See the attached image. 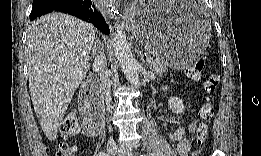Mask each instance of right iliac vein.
Instances as JSON below:
<instances>
[{
	"label": "right iliac vein",
	"instance_id": "right-iliac-vein-1",
	"mask_svg": "<svg viewBox=\"0 0 261 156\" xmlns=\"http://www.w3.org/2000/svg\"><path fill=\"white\" fill-rule=\"evenodd\" d=\"M106 149L110 155H114L117 151V146H116V144H114L112 142H108L106 145Z\"/></svg>",
	"mask_w": 261,
	"mask_h": 156
}]
</instances>
